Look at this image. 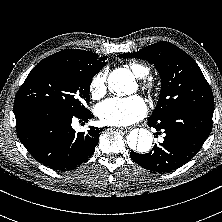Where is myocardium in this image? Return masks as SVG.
<instances>
[{"instance_id":"1","label":"myocardium","mask_w":222,"mask_h":222,"mask_svg":"<svg viewBox=\"0 0 222 222\" xmlns=\"http://www.w3.org/2000/svg\"><path fill=\"white\" fill-rule=\"evenodd\" d=\"M141 88L149 95H154L158 90V85L155 81L145 78L141 82Z\"/></svg>"}]
</instances>
